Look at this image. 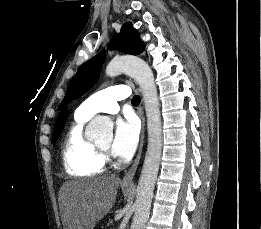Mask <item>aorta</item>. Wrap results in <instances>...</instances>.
<instances>
[{
	"label": "aorta",
	"instance_id": "obj_1",
	"mask_svg": "<svg viewBox=\"0 0 261 229\" xmlns=\"http://www.w3.org/2000/svg\"><path fill=\"white\" fill-rule=\"evenodd\" d=\"M121 72L129 74L138 82L142 88L146 108L148 147L136 189L135 215L131 225V229H144L150 213L162 155L161 112L154 74L149 64L138 56H114L106 66V74L107 76H117ZM89 129L86 139H94L95 143H100L105 139L111 141L113 137V123L109 117H100V115L95 117L91 121Z\"/></svg>",
	"mask_w": 261,
	"mask_h": 229
}]
</instances>
